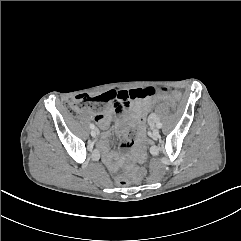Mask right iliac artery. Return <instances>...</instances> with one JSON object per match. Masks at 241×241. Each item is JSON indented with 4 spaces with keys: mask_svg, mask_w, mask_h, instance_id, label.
<instances>
[{
    "mask_svg": "<svg viewBox=\"0 0 241 241\" xmlns=\"http://www.w3.org/2000/svg\"><path fill=\"white\" fill-rule=\"evenodd\" d=\"M90 128H91V129H94V128H95V125H94V124H90Z\"/></svg>",
    "mask_w": 241,
    "mask_h": 241,
    "instance_id": "obj_1",
    "label": "right iliac artery"
}]
</instances>
